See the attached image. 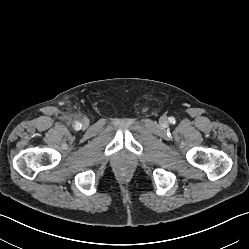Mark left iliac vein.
<instances>
[{"instance_id": "left-iliac-vein-1", "label": "left iliac vein", "mask_w": 249, "mask_h": 249, "mask_svg": "<svg viewBox=\"0 0 249 249\" xmlns=\"http://www.w3.org/2000/svg\"><path fill=\"white\" fill-rule=\"evenodd\" d=\"M160 124L163 126V127H166L168 125V120H167V117L166 116H162L160 118Z\"/></svg>"}]
</instances>
